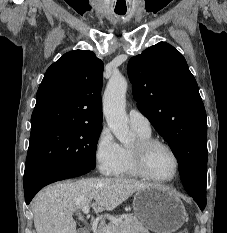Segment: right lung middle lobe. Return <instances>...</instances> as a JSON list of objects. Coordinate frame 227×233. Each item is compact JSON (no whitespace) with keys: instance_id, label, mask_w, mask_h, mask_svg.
<instances>
[{"instance_id":"obj_1","label":"right lung middle lobe","mask_w":227,"mask_h":233,"mask_svg":"<svg viewBox=\"0 0 227 233\" xmlns=\"http://www.w3.org/2000/svg\"><path fill=\"white\" fill-rule=\"evenodd\" d=\"M101 124L62 125L32 133L24 180L57 167L94 169Z\"/></svg>"}]
</instances>
